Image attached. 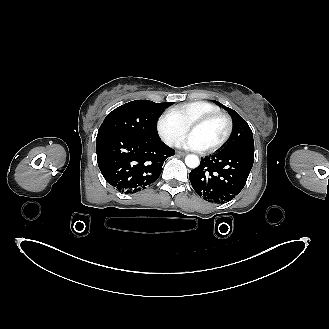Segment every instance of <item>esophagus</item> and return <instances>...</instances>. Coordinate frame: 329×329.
I'll return each instance as SVG.
<instances>
[{
	"instance_id": "34e87169",
	"label": "esophagus",
	"mask_w": 329,
	"mask_h": 329,
	"mask_svg": "<svg viewBox=\"0 0 329 329\" xmlns=\"http://www.w3.org/2000/svg\"><path fill=\"white\" fill-rule=\"evenodd\" d=\"M177 155H178V156H185L186 153H185V152H177Z\"/></svg>"
}]
</instances>
